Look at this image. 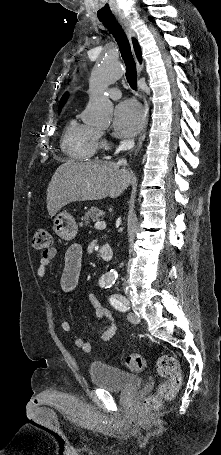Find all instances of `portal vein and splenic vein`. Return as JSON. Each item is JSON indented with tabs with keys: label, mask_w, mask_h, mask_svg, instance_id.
<instances>
[{
	"label": "portal vein and splenic vein",
	"mask_w": 221,
	"mask_h": 455,
	"mask_svg": "<svg viewBox=\"0 0 221 455\" xmlns=\"http://www.w3.org/2000/svg\"><path fill=\"white\" fill-rule=\"evenodd\" d=\"M106 227V222L105 221H97L95 223V228L100 229V228H105Z\"/></svg>",
	"instance_id": "portal-vein-and-splenic-vein-1"
}]
</instances>
